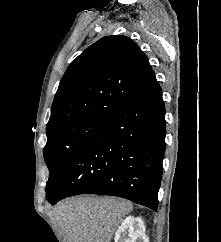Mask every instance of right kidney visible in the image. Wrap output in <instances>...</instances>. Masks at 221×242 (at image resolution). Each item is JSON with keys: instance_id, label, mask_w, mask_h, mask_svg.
<instances>
[{"instance_id": "obj_1", "label": "right kidney", "mask_w": 221, "mask_h": 242, "mask_svg": "<svg viewBox=\"0 0 221 242\" xmlns=\"http://www.w3.org/2000/svg\"><path fill=\"white\" fill-rule=\"evenodd\" d=\"M114 240L115 242H149L143 220L140 217H126L118 227Z\"/></svg>"}]
</instances>
